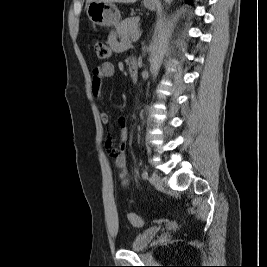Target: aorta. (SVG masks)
Listing matches in <instances>:
<instances>
[{"label": "aorta", "mask_w": 267, "mask_h": 267, "mask_svg": "<svg viewBox=\"0 0 267 267\" xmlns=\"http://www.w3.org/2000/svg\"><path fill=\"white\" fill-rule=\"evenodd\" d=\"M172 1L173 0H164L166 5H170ZM160 43H161V33H158V35L154 37L153 42L151 44V57H153L157 53ZM143 73L145 74L146 71H144Z\"/></svg>", "instance_id": "762f6f07"}]
</instances>
